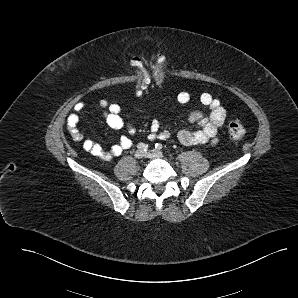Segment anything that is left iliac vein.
Listing matches in <instances>:
<instances>
[{
    "label": "left iliac vein",
    "instance_id": "4c4485c4",
    "mask_svg": "<svg viewBox=\"0 0 298 298\" xmlns=\"http://www.w3.org/2000/svg\"><path fill=\"white\" fill-rule=\"evenodd\" d=\"M146 157H149V158H161L163 156L162 152L161 151H158V150H151L149 152H147L145 154Z\"/></svg>",
    "mask_w": 298,
    "mask_h": 298
}]
</instances>
